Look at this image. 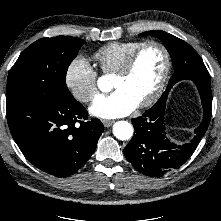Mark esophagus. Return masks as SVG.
<instances>
[{
    "instance_id": "esophagus-1",
    "label": "esophagus",
    "mask_w": 221,
    "mask_h": 221,
    "mask_svg": "<svg viewBox=\"0 0 221 221\" xmlns=\"http://www.w3.org/2000/svg\"><path fill=\"white\" fill-rule=\"evenodd\" d=\"M102 122H103V125L107 128L110 127L114 123V121L112 120H103Z\"/></svg>"
}]
</instances>
